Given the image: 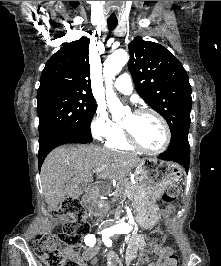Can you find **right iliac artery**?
Here are the masks:
<instances>
[{
	"label": "right iliac artery",
	"instance_id": "right-iliac-artery-1",
	"mask_svg": "<svg viewBox=\"0 0 221 266\" xmlns=\"http://www.w3.org/2000/svg\"><path fill=\"white\" fill-rule=\"evenodd\" d=\"M103 233H104V232H103ZM103 233H102V234H103ZM84 241H85L86 245L92 247V246H94L95 243H96V237H95L94 234H88V235L85 237V240H84Z\"/></svg>",
	"mask_w": 221,
	"mask_h": 266
}]
</instances>
